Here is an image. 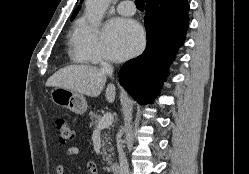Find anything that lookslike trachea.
Segmentation results:
<instances>
[{"mask_svg": "<svg viewBox=\"0 0 249 174\" xmlns=\"http://www.w3.org/2000/svg\"><path fill=\"white\" fill-rule=\"evenodd\" d=\"M136 7L140 10H144L145 2L144 0H135Z\"/></svg>", "mask_w": 249, "mask_h": 174, "instance_id": "3493384b", "label": "trachea"}]
</instances>
